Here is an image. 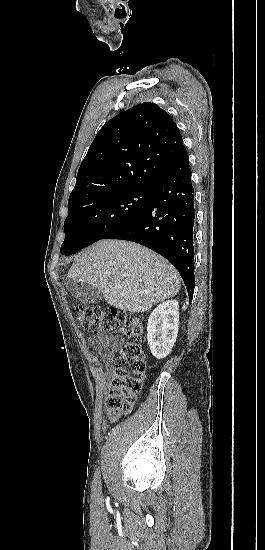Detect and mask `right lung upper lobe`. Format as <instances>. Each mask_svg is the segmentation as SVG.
Here are the masks:
<instances>
[{
  "label": "right lung upper lobe",
  "instance_id": "right-lung-upper-lobe-1",
  "mask_svg": "<svg viewBox=\"0 0 265 550\" xmlns=\"http://www.w3.org/2000/svg\"><path fill=\"white\" fill-rule=\"evenodd\" d=\"M186 149L170 115L138 104L109 120L83 159L68 204L118 191L148 188Z\"/></svg>",
  "mask_w": 265,
  "mask_h": 550
}]
</instances>
